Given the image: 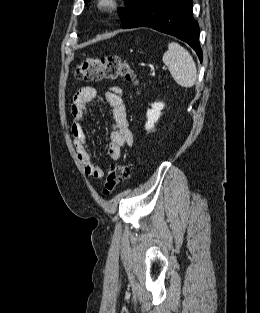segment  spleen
<instances>
[{"mask_svg": "<svg viewBox=\"0 0 260 313\" xmlns=\"http://www.w3.org/2000/svg\"><path fill=\"white\" fill-rule=\"evenodd\" d=\"M162 60L178 85L190 88L196 83L197 68L192 56L184 47L176 42L169 43Z\"/></svg>", "mask_w": 260, "mask_h": 313, "instance_id": "3e777b00", "label": "spleen"}]
</instances>
